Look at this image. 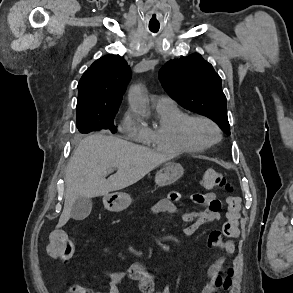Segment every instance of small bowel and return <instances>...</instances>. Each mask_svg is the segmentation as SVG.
Returning a JSON list of instances; mask_svg holds the SVG:
<instances>
[{
	"label": "small bowel",
	"mask_w": 293,
	"mask_h": 293,
	"mask_svg": "<svg viewBox=\"0 0 293 293\" xmlns=\"http://www.w3.org/2000/svg\"><path fill=\"white\" fill-rule=\"evenodd\" d=\"M193 202L198 205H204L203 211H191L179 213L177 203L182 199V195L178 191H173L167 198L161 199L151 207V215L158 218L161 214H179L181 220L188 223L183 233L186 237H190L204 224L220 219L221 203L217 199L214 192L194 193L191 196ZM207 243L211 247H218L227 254H233L236 246L233 240L223 239L220 231H211L208 235ZM109 253V247H103L100 251L102 256ZM225 261L224 257L218 258L209 268V281L203 287L201 293H215L216 278ZM129 279L138 284L141 293H171L169 286L156 289V273L140 262H133L126 272L113 273L107 283L105 290H86L78 285H71L68 288L69 293H122V283L125 279Z\"/></svg>",
	"instance_id": "1"
}]
</instances>
